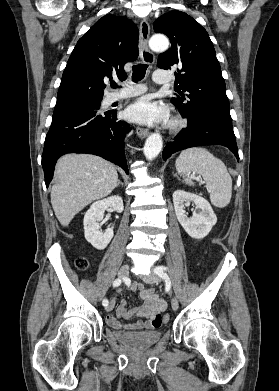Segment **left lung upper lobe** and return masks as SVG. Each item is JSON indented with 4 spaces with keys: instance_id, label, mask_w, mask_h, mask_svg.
Instances as JSON below:
<instances>
[{
    "instance_id": "left-lung-upper-lobe-1",
    "label": "left lung upper lobe",
    "mask_w": 279,
    "mask_h": 391,
    "mask_svg": "<svg viewBox=\"0 0 279 391\" xmlns=\"http://www.w3.org/2000/svg\"><path fill=\"white\" fill-rule=\"evenodd\" d=\"M154 31L171 41L170 49L159 55L157 66L177 68L179 96L171 101L179 112L190 116L209 111L231 120L221 67L206 30L186 13L173 10L154 22Z\"/></svg>"
}]
</instances>
